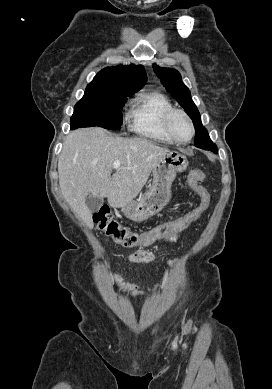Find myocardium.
Returning <instances> with one entry per match:
<instances>
[{"instance_id":"obj_1","label":"myocardium","mask_w":272,"mask_h":389,"mask_svg":"<svg viewBox=\"0 0 272 389\" xmlns=\"http://www.w3.org/2000/svg\"><path fill=\"white\" fill-rule=\"evenodd\" d=\"M175 115H182L187 120V122L190 126L191 135L186 140H182V139H179L178 137H176V135L174 134V132L172 130L171 121ZM163 126H164L166 133L169 135V137L174 142L179 143V144L189 143L195 135V127H194V124H193L191 117L189 116V114L185 110L180 109V108H171L170 110H168L165 113V115L163 117Z\"/></svg>"}]
</instances>
